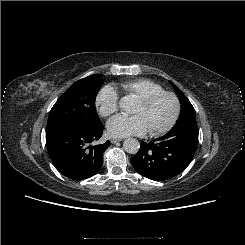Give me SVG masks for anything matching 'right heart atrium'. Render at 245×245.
Here are the masks:
<instances>
[{
    "instance_id": "1",
    "label": "right heart atrium",
    "mask_w": 245,
    "mask_h": 245,
    "mask_svg": "<svg viewBox=\"0 0 245 245\" xmlns=\"http://www.w3.org/2000/svg\"><path fill=\"white\" fill-rule=\"evenodd\" d=\"M119 97L111 86L102 87L95 98V106L102 117H108L118 109Z\"/></svg>"
}]
</instances>
